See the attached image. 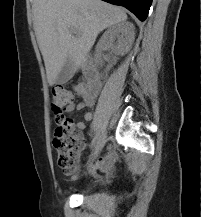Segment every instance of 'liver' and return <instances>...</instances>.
Masks as SVG:
<instances>
[{
    "label": "liver",
    "instance_id": "liver-1",
    "mask_svg": "<svg viewBox=\"0 0 202 217\" xmlns=\"http://www.w3.org/2000/svg\"><path fill=\"white\" fill-rule=\"evenodd\" d=\"M32 8L34 31L51 86L68 57L77 70L82 68L98 34L127 19L122 8L102 0H34ZM71 28L77 31L76 37Z\"/></svg>",
    "mask_w": 202,
    "mask_h": 217
}]
</instances>
